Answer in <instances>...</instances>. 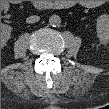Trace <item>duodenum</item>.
<instances>
[{
  "label": "duodenum",
  "mask_w": 109,
  "mask_h": 109,
  "mask_svg": "<svg viewBox=\"0 0 109 109\" xmlns=\"http://www.w3.org/2000/svg\"><path fill=\"white\" fill-rule=\"evenodd\" d=\"M32 4L37 10H43L53 5L52 3L48 1H33Z\"/></svg>",
  "instance_id": "410a0bca"
}]
</instances>
